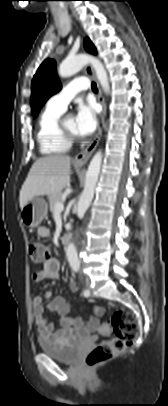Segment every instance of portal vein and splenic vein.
<instances>
[{"label": "portal vein and splenic vein", "mask_w": 168, "mask_h": 406, "mask_svg": "<svg viewBox=\"0 0 168 406\" xmlns=\"http://www.w3.org/2000/svg\"><path fill=\"white\" fill-rule=\"evenodd\" d=\"M55 210L56 211H63L64 210V204L62 202H57L55 205Z\"/></svg>", "instance_id": "1"}]
</instances>
